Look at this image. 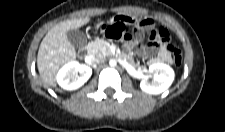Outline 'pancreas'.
Masks as SVG:
<instances>
[{"mask_svg":"<svg viewBox=\"0 0 225 132\" xmlns=\"http://www.w3.org/2000/svg\"><path fill=\"white\" fill-rule=\"evenodd\" d=\"M88 51L93 55H102L104 57L112 55L109 49V43L104 39H98L88 44Z\"/></svg>","mask_w":225,"mask_h":132,"instance_id":"1","label":"pancreas"}]
</instances>
